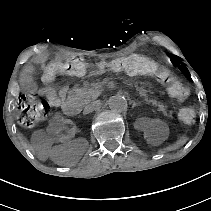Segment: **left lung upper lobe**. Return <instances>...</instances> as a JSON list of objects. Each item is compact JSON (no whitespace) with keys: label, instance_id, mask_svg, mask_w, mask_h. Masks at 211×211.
<instances>
[{"label":"left lung upper lobe","instance_id":"obj_1","mask_svg":"<svg viewBox=\"0 0 211 211\" xmlns=\"http://www.w3.org/2000/svg\"><path fill=\"white\" fill-rule=\"evenodd\" d=\"M171 61L175 66H178L181 71L190 75L188 69L185 67L184 63L181 62V59L178 56H171Z\"/></svg>","mask_w":211,"mask_h":211}]
</instances>
